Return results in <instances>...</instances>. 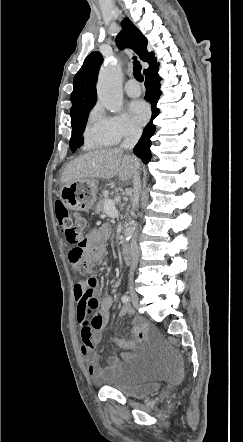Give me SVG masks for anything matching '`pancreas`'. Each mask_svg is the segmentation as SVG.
<instances>
[{
  "label": "pancreas",
  "instance_id": "1",
  "mask_svg": "<svg viewBox=\"0 0 243 442\" xmlns=\"http://www.w3.org/2000/svg\"><path fill=\"white\" fill-rule=\"evenodd\" d=\"M106 202H113V200H111V199H107V198L101 199V200L97 203V205H96V213H97V214H100V215H102V216L105 215L104 205H105ZM113 203H114V202H113Z\"/></svg>",
  "mask_w": 243,
  "mask_h": 442
}]
</instances>
